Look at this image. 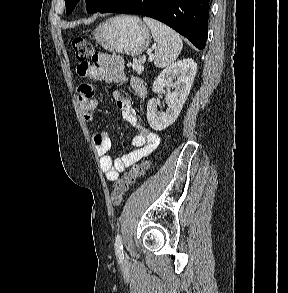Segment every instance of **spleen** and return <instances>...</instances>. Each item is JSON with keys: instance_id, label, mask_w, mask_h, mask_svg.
Returning a JSON list of instances; mask_svg holds the SVG:
<instances>
[{"instance_id": "3e777b00", "label": "spleen", "mask_w": 288, "mask_h": 293, "mask_svg": "<svg viewBox=\"0 0 288 293\" xmlns=\"http://www.w3.org/2000/svg\"><path fill=\"white\" fill-rule=\"evenodd\" d=\"M143 21L151 30L152 37L157 43L154 64L158 68L169 67L179 56L183 42L178 33L167 25L154 19L144 17Z\"/></svg>"}]
</instances>
